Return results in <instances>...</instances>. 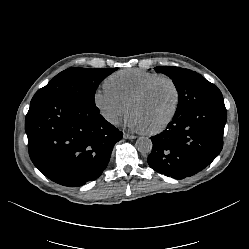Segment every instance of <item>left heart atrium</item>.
I'll list each match as a JSON object with an SVG mask.
<instances>
[{"instance_id":"left-heart-atrium-1","label":"left heart atrium","mask_w":249,"mask_h":249,"mask_svg":"<svg viewBox=\"0 0 249 249\" xmlns=\"http://www.w3.org/2000/svg\"><path fill=\"white\" fill-rule=\"evenodd\" d=\"M121 123L135 131L144 132L147 131L146 126L142 122L139 114L134 110H129L122 118Z\"/></svg>"}]
</instances>
